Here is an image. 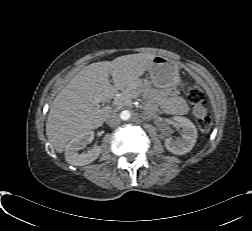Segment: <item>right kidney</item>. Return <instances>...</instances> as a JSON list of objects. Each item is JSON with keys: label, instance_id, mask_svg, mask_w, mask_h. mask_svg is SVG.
<instances>
[{"label": "right kidney", "instance_id": "ca27d5eb", "mask_svg": "<svg viewBox=\"0 0 252 231\" xmlns=\"http://www.w3.org/2000/svg\"><path fill=\"white\" fill-rule=\"evenodd\" d=\"M94 138L93 131H86L73 138L65 149L66 161L74 166L87 165L96 160L101 154V147L97 146L91 150L79 154L78 151L85 148Z\"/></svg>", "mask_w": 252, "mask_h": 231}]
</instances>
